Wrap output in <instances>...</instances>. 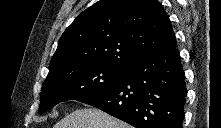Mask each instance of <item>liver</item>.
<instances>
[{"label":"liver","mask_w":221,"mask_h":128,"mask_svg":"<svg viewBox=\"0 0 221 128\" xmlns=\"http://www.w3.org/2000/svg\"><path fill=\"white\" fill-rule=\"evenodd\" d=\"M54 128H132L97 108L77 109L61 119Z\"/></svg>","instance_id":"6515ba94"}]
</instances>
